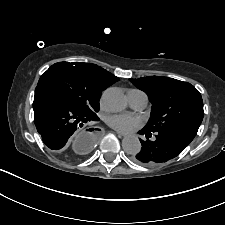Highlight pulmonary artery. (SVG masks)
<instances>
[{
    "label": "pulmonary artery",
    "mask_w": 225,
    "mask_h": 225,
    "mask_svg": "<svg viewBox=\"0 0 225 225\" xmlns=\"http://www.w3.org/2000/svg\"><path fill=\"white\" fill-rule=\"evenodd\" d=\"M130 106L136 110L144 109L148 104V96L143 91L131 89L127 93Z\"/></svg>",
    "instance_id": "e3ab8cb5"
}]
</instances>
